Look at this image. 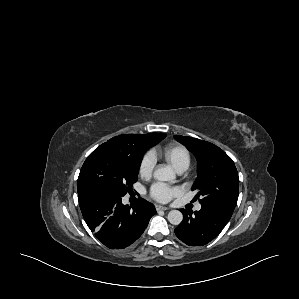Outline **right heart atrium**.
Masks as SVG:
<instances>
[{"mask_svg": "<svg viewBox=\"0 0 299 299\" xmlns=\"http://www.w3.org/2000/svg\"><path fill=\"white\" fill-rule=\"evenodd\" d=\"M156 165V159L153 153L147 152L141 159L139 165V174L143 178L151 177Z\"/></svg>", "mask_w": 299, "mask_h": 299, "instance_id": "1", "label": "right heart atrium"}]
</instances>
